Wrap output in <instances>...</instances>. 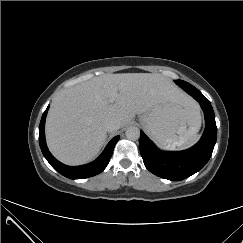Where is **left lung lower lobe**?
Returning <instances> with one entry per match:
<instances>
[{"instance_id":"1","label":"left lung lower lobe","mask_w":243,"mask_h":243,"mask_svg":"<svg viewBox=\"0 0 243 243\" xmlns=\"http://www.w3.org/2000/svg\"><path fill=\"white\" fill-rule=\"evenodd\" d=\"M178 85L194 97L204 111L206 128L200 141L185 151L162 152L143 131L140 136V153L146 168L171 181L183 180L202 169L212 155L217 137L215 115L210 101L191 84L185 82Z\"/></svg>"}]
</instances>
